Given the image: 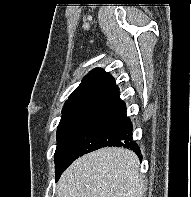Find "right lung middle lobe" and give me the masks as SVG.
Listing matches in <instances>:
<instances>
[{"instance_id": "1", "label": "right lung middle lobe", "mask_w": 191, "mask_h": 197, "mask_svg": "<svg viewBox=\"0 0 191 197\" xmlns=\"http://www.w3.org/2000/svg\"><path fill=\"white\" fill-rule=\"evenodd\" d=\"M92 108L78 109L62 113L59 127L57 129V148L55 151L56 179L60 177L62 168L69 156L71 147L76 140L77 134L83 122L91 112Z\"/></svg>"}]
</instances>
